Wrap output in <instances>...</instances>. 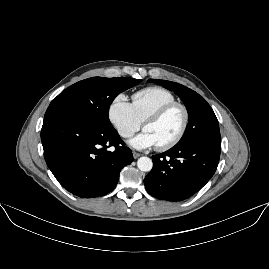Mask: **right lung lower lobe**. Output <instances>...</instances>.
I'll return each mask as SVG.
<instances>
[{
	"label": "right lung lower lobe",
	"instance_id": "98d812e1",
	"mask_svg": "<svg viewBox=\"0 0 269 269\" xmlns=\"http://www.w3.org/2000/svg\"><path fill=\"white\" fill-rule=\"evenodd\" d=\"M41 140L53 175L82 198L111 192L122 168L133 161L131 150L113 127L56 107H48L45 113ZM112 146L115 150H107Z\"/></svg>",
	"mask_w": 269,
	"mask_h": 269
}]
</instances>
